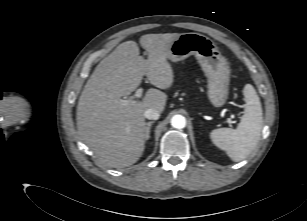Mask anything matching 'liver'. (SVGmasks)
I'll use <instances>...</instances> for the list:
<instances>
[{
    "instance_id": "6515ba94",
    "label": "liver",
    "mask_w": 307,
    "mask_h": 221,
    "mask_svg": "<svg viewBox=\"0 0 307 221\" xmlns=\"http://www.w3.org/2000/svg\"><path fill=\"white\" fill-rule=\"evenodd\" d=\"M179 35L141 36L140 45L148 52L146 60L140 56L135 41L123 42L97 65L88 79L77 106L78 135L103 164L112 168L128 167L142 156L144 112L149 108L162 112L167 95L150 88L134 104L123 106L119 101L135 91L145 75L157 88L171 87L174 74L167 61V50Z\"/></svg>"
}]
</instances>
